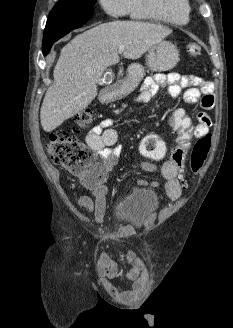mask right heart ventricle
Returning <instances> with one entry per match:
<instances>
[{"label": "right heart ventricle", "instance_id": "obj_1", "mask_svg": "<svg viewBox=\"0 0 233 328\" xmlns=\"http://www.w3.org/2000/svg\"><path fill=\"white\" fill-rule=\"evenodd\" d=\"M189 0H128L127 12L133 19L185 25L189 22Z\"/></svg>", "mask_w": 233, "mask_h": 328}]
</instances>
